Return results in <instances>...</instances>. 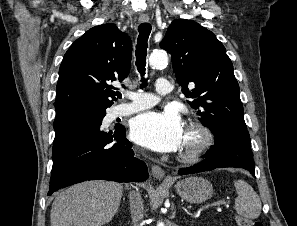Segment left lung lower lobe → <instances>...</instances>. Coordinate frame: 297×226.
<instances>
[{
  "label": "left lung lower lobe",
  "instance_id": "0a47b994",
  "mask_svg": "<svg viewBox=\"0 0 297 226\" xmlns=\"http://www.w3.org/2000/svg\"><path fill=\"white\" fill-rule=\"evenodd\" d=\"M215 144L204 155L206 159L195 166L180 169V175L211 171L216 168H244L255 177V162L248 132L219 131L213 133Z\"/></svg>",
  "mask_w": 297,
  "mask_h": 226
}]
</instances>
